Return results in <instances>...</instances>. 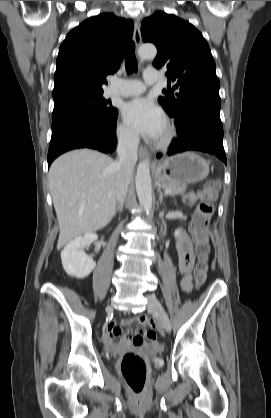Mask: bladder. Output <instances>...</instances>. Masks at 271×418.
Instances as JSON below:
<instances>
[{
  "mask_svg": "<svg viewBox=\"0 0 271 418\" xmlns=\"http://www.w3.org/2000/svg\"><path fill=\"white\" fill-rule=\"evenodd\" d=\"M155 363H156V365H159L160 364L159 360H156Z\"/></svg>",
  "mask_w": 271,
  "mask_h": 418,
  "instance_id": "31cf9c89",
  "label": "bladder"
}]
</instances>
